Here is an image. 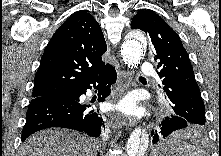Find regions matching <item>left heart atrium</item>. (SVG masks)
Listing matches in <instances>:
<instances>
[{"mask_svg":"<svg viewBox=\"0 0 221 156\" xmlns=\"http://www.w3.org/2000/svg\"><path fill=\"white\" fill-rule=\"evenodd\" d=\"M112 109L124 115L138 116L141 114V110L136 105V100L133 96H127L120 99L112 105Z\"/></svg>","mask_w":221,"mask_h":156,"instance_id":"1","label":"left heart atrium"}]
</instances>
